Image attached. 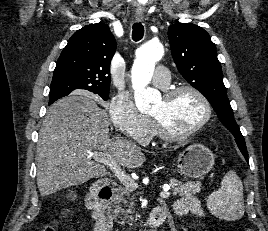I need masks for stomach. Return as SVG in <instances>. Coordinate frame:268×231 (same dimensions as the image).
I'll return each mask as SVG.
<instances>
[{"instance_id":"stomach-1","label":"stomach","mask_w":268,"mask_h":231,"mask_svg":"<svg viewBox=\"0 0 268 231\" xmlns=\"http://www.w3.org/2000/svg\"><path fill=\"white\" fill-rule=\"evenodd\" d=\"M215 156L211 150L201 144H192L179 154L178 172L185 178H202L214 166Z\"/></svg>"}]
</instances>
